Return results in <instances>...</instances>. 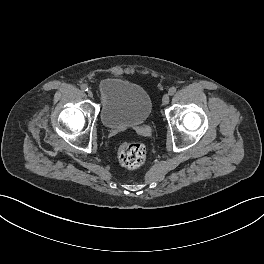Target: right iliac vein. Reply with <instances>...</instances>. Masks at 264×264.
I'll use <instances>...</instances> for the list:
<instances>
[{
	"mask_svg": "<svg viewBox=\"0 0 264 264\" xmlns=\"http://www.w3.org/2000/svg\"><path fill=\"white\" fill-rule=\"evenodd\" d=\"M87 93H88V96H89V97H93V92H92L91 90H88Z\"/></svg>",
	"mask_w": 264,
	"mask_h": 264,
	"instance_id": "obj_1",
	"label": "right iliac vein"
}]
</instances>
